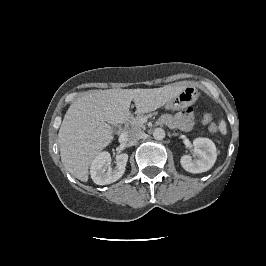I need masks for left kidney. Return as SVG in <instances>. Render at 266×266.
Returning <instances> with one entry per match:
<instances>
[{
  "label": "left kidney",
  "mask_w": 266,
  "mask_h": 266,
  "mask_svg": "<svg viewBox=\"0 0 266 266\" xmlns=\"http://www.w3.org/2000/svg\"><path fill=\"white\" fill-rule=\"evenodd\" d=\"M194 154L196 159L191 156L183 155L180 163L182 167L190 173H202L208 171L214 165L217 158V149L212 140L208 138H196L193 141Z\"/></svg>",
  "instance_id": "left-kidney-1"
}]
</instances>
